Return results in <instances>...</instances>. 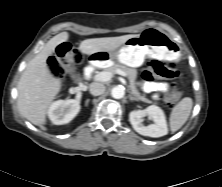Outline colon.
<instances>
[{
	"mask_svg": "<svg viewBox=\"0 0 222 187\" xmlns=\"http://www.w3.org/2000/svg\"><path fill=\"white\" fill-rule=\"evenodd\" d=\"M82 61L81 53L69 44H61L55 53L48 59L47 66L51 75L56 79L64 77L67 68L79 64ZM177 72L165 63L153 60L143 72L146 81L157 79H171L176 77ZM181 97V91L173 86L165 95V101L169 105H174Z\"/></svg>",
	"mask_w": 222,
	"mask_h": 187,
	"instance_id": "obj_1",
	"label": "colon"
}]
</instances>
